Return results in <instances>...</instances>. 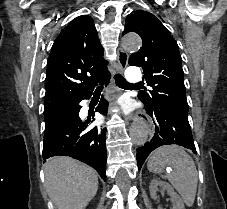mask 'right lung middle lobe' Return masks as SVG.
Segmentation results:
<instances>
[{
	"label": "right lung middle lobe",
	"instance_id": "1",
	"mask_svg": "<svg viewBox=\"0 0 227 209\" xmlns=\"http://www.w3.org/2000/svg\"><path fill=\"white\" fill-rule=\"evenodd\" d=\"M70 103L57 104L44 108L45 128L52 125L59 117H61L69 108Z\"/></svg>",
	"mask_w": 227,
	"mask_h": 209
}]
</instances>
